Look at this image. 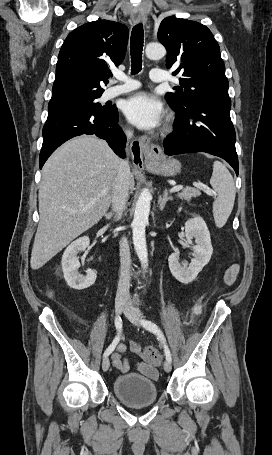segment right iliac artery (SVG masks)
Masks as SVG:
<instances>
[{
    "label": "right iliac artery",
    "instance_id": "82829eb1",
    "mask_svg": "<svg viewBox=\"0 0 272 455\" xmlns=\"http://www.w3.org/2000/svg\"><path fill=\"white\" fill-rule=\"evenodd\" d=\"M115 326L118 331L117 336L114 338L110 346L105 350L104 357L109 356L114 351L115 347L117 346L120 340V333L122 331V320L119 316H117L115 319Z\"/></svg>",
    "mask_w": 272,
    "mask_h": 455
}]
</instances>
